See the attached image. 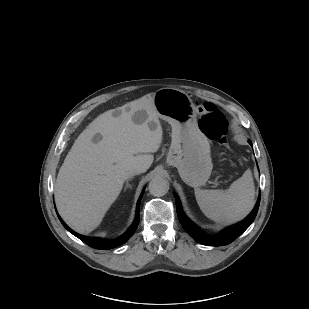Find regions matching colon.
<instances>
[{
  "mask_svg": "<svg viewBox=\"0 0 309 309\" xmlns=\"http://www.w3.org/2000/svg\"><path fill=\"white\" fill-rule=\"evenodd\" d=\"M200 130L210 139L220 144H227V123L223 113L210 102H197Z\"/></svg>",
  "mask_w": 309,
  "mask_h": 309,
  "instance_id": "5ec220e1",
  "label": "colon"
}]
</instances>
